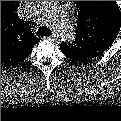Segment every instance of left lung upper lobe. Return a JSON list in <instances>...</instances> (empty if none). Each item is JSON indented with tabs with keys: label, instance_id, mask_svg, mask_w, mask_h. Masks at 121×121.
Listing matches in <instances>:
<instances>
[{
	"label": "left lung upper lobe",
	"instance_id": "5c2ea615",
	"mask_svg": "<svg viewBox=\"0 0 121 121\" xmlns=\"http://www.w3.org/2000/svg\"><path fill=\"white\" fill-rule=\"evenodd\" d=\"M76 40L72 45H60L64 54L96 55L107 50L120 30V12L111 1H77Z\"/></svg>",
	"mask_w": 121,
	"mask_h": 121
}]
</instances>
